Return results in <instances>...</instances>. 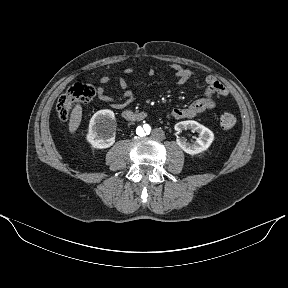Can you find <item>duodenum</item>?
Masks as SVG:
<instances>
[{"label": "duodenum", "instance_id": "duodenum-1", "mask_svg": "<svg viewBox=\"0 0 288 288\" xmlns=\"http://www.w3.org/2000/svg\"><path fill=\"white\" fill-rule=\"evenodd\" d=\"M146 116L147 114L144 111H140V112H134L132 110L123 111V117L128 121H141L145 119Z\"/></svg>", "mask_w": 288, "mask_h": 288}]
</instances>
